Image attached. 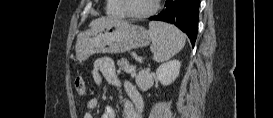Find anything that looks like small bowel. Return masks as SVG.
<instances>
[{
    "label": "small bowel",
    "instance_id": "obj_1",
    "mask_svg": "<svg viewBox=\"0 0 273 118\" xmlns=\"http://www.w3.org/2000/svg\"><path fill=\"white\" fill-rule=\"evenodd\" d=\"M92 76L97 84L108 82L122 89L128 96L123 104L124 118H142L143 101L136 87L127 79L120 78L116 71L113 60L109 57H99L93 63ZM99 101L91 98L87 101L86 107L88 112L84 118H93L91 111L96 110ZM102 118H116L115 110L111 106H106L103 110Z\"/></svg>",
    "mask_w": 273,
    "mask_h": 118
}]
</instances>
